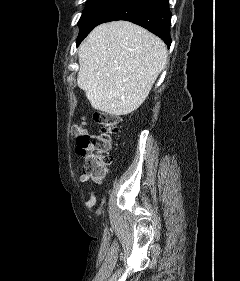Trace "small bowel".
Segmentation results:
<instances>
[{
    "label": "small bowel",
    "instance_id": "obj_1",
    "mask_svg": "<svg viewBox=\"0 0 240 281\" xmlns=\"http://www.w3.org/2000/svg\"><path fill=\"white\" fill-rule=\"evenodd\" d=\"M103 174L101 175H91V174H86L82 171L80 177H79V180L81 183H86V182H94L96 184H102L103 183ZM95 203V198L94 197H91L89 199V201L87 202V204L89 206H93Z\"/></svg>",
    "mask_w": 240,
    "mask_h": 281
}]
</instances>
